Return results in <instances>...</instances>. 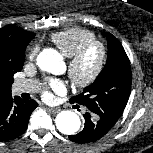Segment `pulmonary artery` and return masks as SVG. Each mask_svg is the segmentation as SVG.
<instances>
[{
  "mask_svg": "<svg viewBox=\"0 0 153 153\" xmlns=\"http://www.w3.org/2000/svg\"><path fill=\"white\" fill-rule=\"evenodd\" d=\"M14 91L20 93H32L38 90L37 82L33 80H22L14 84Z\"/></svg>",
  "mask_w": 153,
  "mask_h": 153,
  "instance_id": "e3ab8cb5",
  "label": "pulmonary artery"
}]
</instances>
